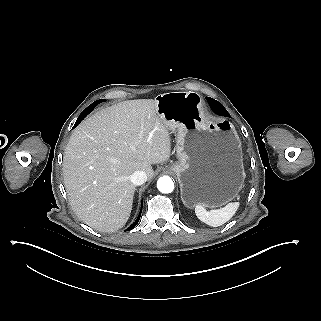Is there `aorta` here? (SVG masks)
Listing matches in <instances>:
<instances>
[{"label":"aorta","instance_id":"762f6f07","mask_svg":"<svg viewBox=\"0 0 321 321\" xmlns=\"http://www.w3.org/2000/svg\"><path fill=\"white\" fill-rule=\"evenodd\" d=\"M157 188L162 193H171L174 190V182L169 176H163L158 179Z\"/></svg>","mask_w":321,"mask_h":321}]
</instances>
